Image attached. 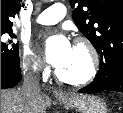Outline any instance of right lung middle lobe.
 I'll return each instance as SVG.
<instances>
[{
	"instance_id": "dd1d6c3e",
	"label": "right lung middle lobe",
	"mask_w": 123,
	"mask_h": 113,
	"mask_svg": "<svg viewBox=\"0 0 123 113\" xmlns=\"http://www.w3.org/2000/svg\"><path fill=\"white\" fill-rule=\"evenodd\" d=\"M12 28L1 29V67L14 69L20 66L18 43L11 40L15 38Z\"/></svg>"
}]
</instances>
